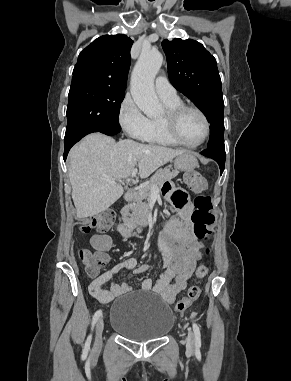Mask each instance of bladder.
Here are the masks:
<instances>
[{
	"mask_svg": "<svg viewBox=\"0 0 291 381\" xmlns=\"http://www.w3.org/2000/svg\"><path fill=\"white\" fill-rule=\"evenodd\" d=\"M175 316L162 299L136 293L122 295L110 308V327L134 341L160 339L173 328Z\"/></svg>",
	"mask_w": 291,
	"mask_h": 381,
	"instance_id": "obj_1",
	"label": "bladder"
}]
</instances>
